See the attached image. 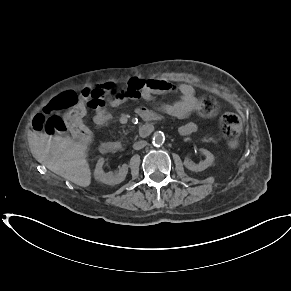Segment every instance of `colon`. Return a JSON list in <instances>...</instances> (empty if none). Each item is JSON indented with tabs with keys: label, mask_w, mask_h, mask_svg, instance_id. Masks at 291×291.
<instances>
[{
	"label": "colon",
	"mask_w": 291,
	"mask_h": 291,
	"mask_svg": "<svg viewBox=\"0 0 291 291\" xmlns=\"http://www.w3.org/2000/svg\"><path fill=\"white\" fill-rule=\"evenodd\" d=\"M92 98L91 90H84L80 94L74 91H64L55 96L50 102H45L44 110L38 113L34 120L35 129L44 130L46 134L70 132L75 142L85 147L91 142V131L84 124L83 117L86 113V103ZM182 106L195 107L196 113L210 116L216 109L215 101L211 97L189 98L180 101ZM62 115H59V114ZM220 127L224 136L232 143L236 142L242 124L234 113H224L220 117Z\"/></svg>",
	"instance_id": "colon-1"
}]
</instances>
